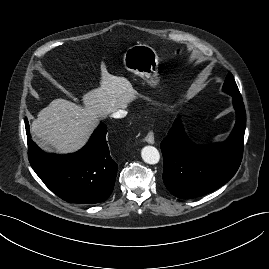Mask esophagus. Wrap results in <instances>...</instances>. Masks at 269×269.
I'll return each instance as SVG.
<instances>
[{
	"label": "esophagus",
	"mask_w": 269,
	"mask_h": 269,
	"mask_svg": "<svg viewBox=\"0 0 269 269\" xmlns=\"http://www.w3.org/2000/svg\"><path fill=\"white\" fill-rule=\"evenodd\" d=\"M146 142H148L149 144H154L155 143V138H154V133L152 131H150L146 137H145Z\"/></svg>",
	"instance_id": "esophagus-1"
}]
</instances>
